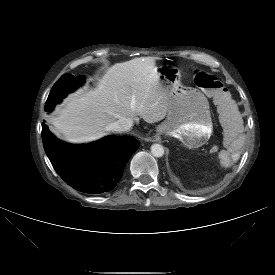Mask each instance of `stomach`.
<instances>
[{
  "label": "stomach",
  "mask_w": 275,
  "mask_h": 275,
  "mask_svg": "<svg viewBox=\"0 0 275 275\" xmlns=\"http://www.w3.org/2000/svg\"><path fill=\"white\" fill-rule=\"evenodd\" d=\"M159 81L167 95V118L157 128L158 134L178 138L188 148L205 144L213 131L209 102L204 94L181 84L178 67H156Z\"/></svg>",
  "instance_id": "0dacf381"
}]
</instances>
